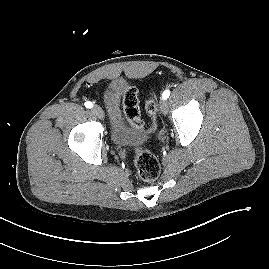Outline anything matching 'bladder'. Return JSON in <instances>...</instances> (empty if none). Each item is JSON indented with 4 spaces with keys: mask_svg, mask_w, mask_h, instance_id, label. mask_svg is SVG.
I'll use <instances>...</instances> for the list:
<instances>
[{
    "mask_svg": "<svg viewBox=\"0 0 269 269\" xmlns=\"http://www.w3.org/2000/svg\"><path fill=\"white\" fill-rule=\"evenodd\" d=\"M125 83L120 80L111 81L103 91V102L111 121V139L117 146H136L145 141V137L127 125L121 115L120 98Z\"/></svg>",
    "mask_w": 269,
    "mask_h": 269,
    "instance_id": "bladder-1",
    "label": "bladder"
}]
</instances>
